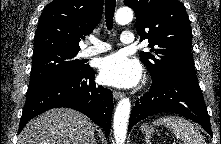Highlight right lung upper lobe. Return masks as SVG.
Segmentation results:
<instances>
[{"instance_id":"obj_1","label":"right lung upper lobe","mask_w":221,"mask_h":144,"mask_svg":"<svg viewBox=\"0 0 221 144\" xmlns=\"http://www.w3.org/2000/svg\"><path fill=\"white\" fill-rule=\"evenodd\" d=\"M103 0H54L40 17L34 53L46 50L79 52V41L100 22Z\"/></svg>"}]
</instances>
